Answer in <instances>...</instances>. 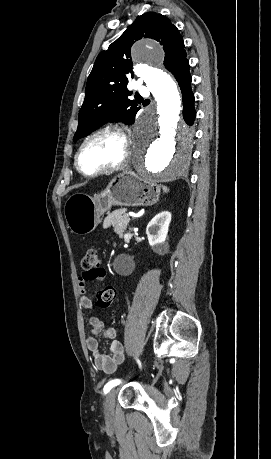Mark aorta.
Here are the masks:
<instances>
[{
    "label": "aorta",
    "instance_id": "762f6f07",
    "mask_svg": "<svg viewBox=\"0 0 271 459\" xmlns=\"http://www.w3.org/2000/svg\"><path fill=\"white\" fill-rule=\"evenodd\" d=\"M142 77L154 97L135 128L132 165L137 174L149 181H168L180 175L189 164L193 133L180 117L181 98L172 77L161 69L164 52L150 39L132 47Z\"/></svg>",
    "mask_w": 271,
    "mask_h": 459
}]
</instances>
